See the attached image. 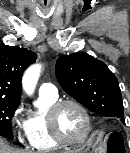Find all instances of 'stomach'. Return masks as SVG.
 <instances>
[{
  "label": "stomach",
  "mask_w": 130,
  "mask_h": 153,
  "mask_svg": "<svg viewBox=\"0 0 130 153\" xmlns=\"http://www.w3.org/2000/svg\"><path fill=\"white\" fill-rule=\"evenodd\" d=\"M103 144V135L102 132L96 131L88 139L87 143L74 150L72 153H100Z\"/></svg>",
  "instance_id": "obj_1"
}]
</instances>
